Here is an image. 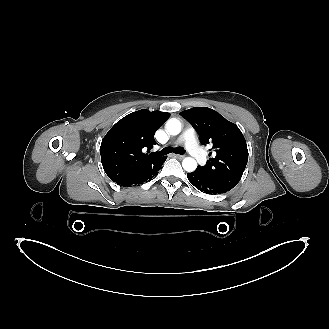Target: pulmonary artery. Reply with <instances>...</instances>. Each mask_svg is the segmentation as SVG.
I'll list each match as a JSON object with an SVG mask.
<instances>
[{
  "instance_id": "e3ab8cb5",
  "label": "pulmonary artery",
  "mask_w": 329,
  "mask_h": 329,
  "mask_svg": "<svg viewBox=\"0 0 329 329\" xmlns=\"http://www.w3.org/2000/svg\"><path fill=\"white\" fill-rule=\"evenodd\" d=\"M178 142H183L185 144L188 152L200 165H204L206 163V154L197 143L195 130L193 128H187L179 137Z\"/></svg>"
}]
</instances>
